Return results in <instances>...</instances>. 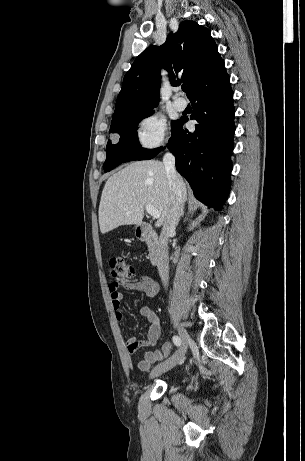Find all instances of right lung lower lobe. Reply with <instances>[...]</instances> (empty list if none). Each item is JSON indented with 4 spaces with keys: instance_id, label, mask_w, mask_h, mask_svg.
<instances>
[{
    "instance_id": "98d812e1",
    "label": "right lung lower lobe",
    "mask_w": 305,
    "mask_h": 461,
    "mask_svg": "<svg viewBox=\"0 0 305 461\" xmlns=\"http://www.w3.org/2000/svg\"><path fill=\"white\" fill-rule=\"evenodd\" d=\"M190 100L194 109L191 119L198 122L195 132L183 130L187 119L177 120L167 148L176 157V169L189 182L195 197L221 210L229 193L235 131L228 74L198 90Z\"/></svg>"
}]
</instances>
